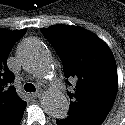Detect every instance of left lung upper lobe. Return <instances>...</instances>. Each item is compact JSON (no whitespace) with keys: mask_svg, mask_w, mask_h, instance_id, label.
I'll use <instances>...</instances> for the list:
<instances>
[{"mask_svg":"<svg viewBox=\"0 0 125 125\" xmlns=\"http://www.w3.org/2000/svg\"><path fill=\"white\" fill-rule=\"evenodd\" d=\"M59 54L64 76L76 80L69 93L68 115L102 123L111 110L118 89L117 68L112 51L92 32L76 26L41 28Z\"/></svg>","mask_w":125,"mask_h":125,"instance_id":"obj_1","label":"left lung upper lobe"}]
</instances>
